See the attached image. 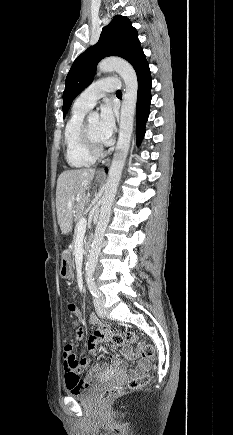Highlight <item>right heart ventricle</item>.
<instances>
[{"mask_svg":"<svg viewBox=\"0 0 233 435\" xmlns=\"http://www.w3.org/2000/svg\"><path fill=\"white\" fill-rule=\"evenodd\" d=\"M88 110L74 106L64 130L65 158L73 168L90 167L95 162L84 147L81 127Z\"/></svg>","mask_w":233,"mask_h":435,"instance_id":"e07e8e85","label":"right heart ventricle"}]
</instances>
